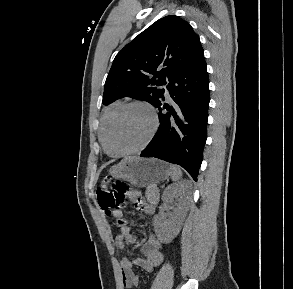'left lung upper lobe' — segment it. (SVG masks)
Wrapping results in <instances>:
<instances>
[{"label":"left lung upper lobe","instance_id":"1","mask_svg":"<svg viewBox=\"0 0 293 289\" xmlns=\"http://www.w3.org/2000/svg\"><path fill=\"white\" fill-rule=\"evenodd\" d=\"M203 51L191 25L178 16H165L140 33L115 57L107 76L103 104L133 97L155 106L164 89Z\"/></svg>","mask_w":293,"mask_h":289}]
</instances>
